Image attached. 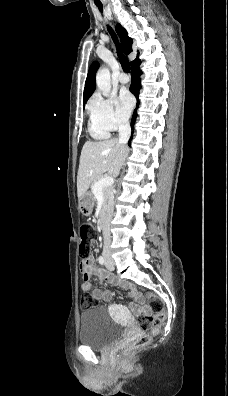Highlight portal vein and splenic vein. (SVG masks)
I'll return each instance as SVG.
<instances>
[{"label": "portal vein and splenic vein", "mask_w": 228, "mask_h": 396, "mask_svg": "<svg viewBox=\"0 0 228 396\" xmlns=\"http://www.w3.org/2000/svg\"><path fill=\"white\" fill-rule=\"evenodd\" d=\"M113 183H114L113 177H109V176H108V177L101 178V179L95 184L94 193H96V192L102 190L104 187L111 186Z\"/></svg>", "instance_id": "1"}]
</instances>
